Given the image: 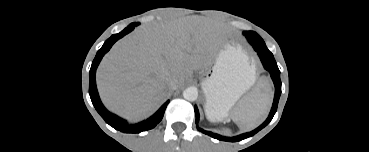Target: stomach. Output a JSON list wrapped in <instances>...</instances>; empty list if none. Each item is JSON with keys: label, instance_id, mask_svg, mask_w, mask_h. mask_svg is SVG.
I'll use <instances>...</instances> for the list:
<instances>
[{"label": "stomach", "instance_id": "0dacf381", "mask_svg": "<svg viewBox=\"0 0 369 152\" xmlns=\"http://www.w3.org/2000/svg\"><path fill=\"white\" fill-rule=\"evenodd\" d=\"M255 80L253 63L242 48L234 43V37L226 36L212 72L202 82L207 118L218 121L226 118L236 101L251 88Z\"/></svg>", "mask_w": 369, "mask_h": 152}]
</instances>
